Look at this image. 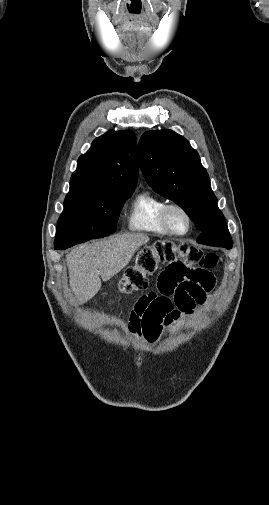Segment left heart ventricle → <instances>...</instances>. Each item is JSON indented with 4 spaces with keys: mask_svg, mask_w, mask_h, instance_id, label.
I'll list each match as a JSON object with an SVG mask.
<instances>
[{
    "mask_svg": "<svg viewBox=\"0 0 269 505\" xmlns=\"http://www.w3.org/2000/svg\"><path fill=\"white\" fill-rule=\"evenodd\" d=\"M169 223L171 227L177 232H184L187 230L188 222L185 215L177 210L173 209L168 215Z\"/></svg>",
    "mask_w": 269,
    "mask_h": 505,
    "instance_id": "1",
    "label": "left heart ventricle"
}]
</instances>
